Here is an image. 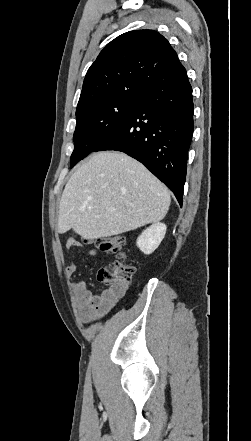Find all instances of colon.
Listing matches in <instances>:
<instances>
[{
	"label": "colon",
	"mask_w": 251,
	"mask_h": 441,
	"mask_svg": "<svg viewBox=\"0 0 251 441\" xmlns=\"http://www.w3.org/2000/svg\"><path fill=\"white\" fill-rule=\"evenodd\" d=\"M84 242L94 245L103 252L116 254L118 260L100 269L99 280L116 291H125L135 273V267L127 261L124 247L126 241L122 236H110L97 239H85Z\"/></svg>",
	"instance_id": "1"
}]
</instances>
